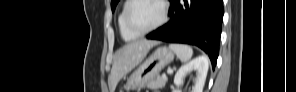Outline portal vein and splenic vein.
<instances>
[{
    "label": "portal vein and splenic vein",
    "instance_id": "1",
    "mask_svg": "<svg viewBox=\"0 0 296 92\" xmlns=\"http://www.w3.org/2000/svg\"><path fill=\"white\" fill-rule=\"evenodd\" d=\"M171 73H173V71L172 70H168V74H171ZM162 77H166V74H163Z\"/></svg>",
    "mask_w": 296,
    "mask_h": 92
}]
</instances>
